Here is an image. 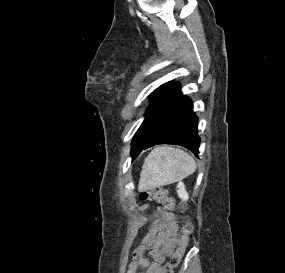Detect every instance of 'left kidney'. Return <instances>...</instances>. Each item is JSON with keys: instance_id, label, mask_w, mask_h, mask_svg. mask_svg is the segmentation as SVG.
Here are the masks:
<instances>
[{"instance_id": "obj_1", "label": "left kidney", "mask_w": 285, "mask_h": 273, "mask_svg": "<svg viewBox=\"0 0 285 273\" xmlns=\"http://www.w3.org/2000/svg\"><path fill=\"white\" fill-rule=\"evenodd\" d=\"M177 193H178V196L180 199H182L183 201H187L189 199V196H188V193L185 189V186L182 182H180L178 185H177Z\"/></svg>"}]
</instances>
